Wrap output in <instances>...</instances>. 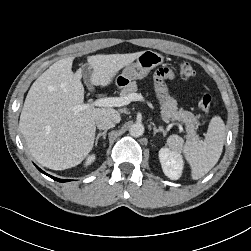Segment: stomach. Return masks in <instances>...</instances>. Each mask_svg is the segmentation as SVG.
Returning <instances> with one entry per match:
<instances>
[{"label":"stomach","instance_id":"obj_1","mask_svg":"<svg viewBox=\"0 0 251 251\" xmlns=\"http://www.w3.org/2000/svg\"><path fill=\"white\" fill-rule=\"evenodd\" d=\"M163 56L152 50L143 51L136 62L126 65L115 82L119 87H126L132 80L143 79L149 72L163 63Z\"/></svg>","mask_w":251,"mask_h":251}]
</instances>
